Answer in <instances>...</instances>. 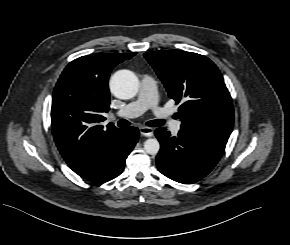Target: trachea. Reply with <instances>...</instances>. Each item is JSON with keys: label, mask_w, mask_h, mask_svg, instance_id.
I'll return each instance as SVG.
<instances>
[{"label": "trachea", "mask_w": 290, "mask_h": 245, "mask_svg": "<svg viewBox=\"0 0 290 245\" xmlns=\"http://www.w3.org/2000/svg\"><path fill=\"white\" fill-rule=\"evenodd\" d=\"M117 125L119 127H126V126H129L130 125V122L127 121V120H125V119H120L117 122ZM146 125L151 126V127H159V126L164 125V121L163 120H160V119L151 120V121L146 122Z\"/></svg>", "instance_id": "obj_1"}]
</instances>
